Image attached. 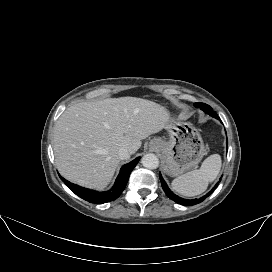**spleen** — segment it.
<instances>
[{
  "mask_svg": "<svg viewBox=\"0 0 272 272\" xmlns=\"http://www.w3.org/2000/svg\"><path fill=\"white\" fill-rule=\"evenodd\" d=\"M221 168V157L213 154L206 158L201 168L193 170L175 178L172 188L185 197H193L203 193L210 182L219 174Z\"/></svg>",
  "mask_w": 272,
  "mask_h": 272,
  "instance_id": "spleen-1",
  "label": "spleen"
}]
</instances>
